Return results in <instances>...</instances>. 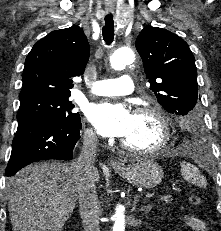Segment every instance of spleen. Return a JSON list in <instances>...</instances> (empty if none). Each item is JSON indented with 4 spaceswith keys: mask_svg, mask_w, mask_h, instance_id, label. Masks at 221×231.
Here are the masks:
<instances>
[{
    "mask_svg": "<svg viewBox=\"0 0 221 231\" xmlns=\"http://www.w3.org/2000/svg\"><path fill=\"white\" fill-rule=\"evenodd\" d=\"M180 165L181 174L186 181L199 187L206 186L207 182L196 166L185 161L181 162Z\"/></svg>",
    "mask_w": 221,
    "mask_h": 231,
    "instance_id": "obj_1",
    "label": "spleen"
}]
</instances>
